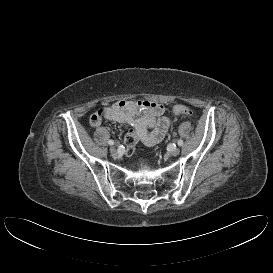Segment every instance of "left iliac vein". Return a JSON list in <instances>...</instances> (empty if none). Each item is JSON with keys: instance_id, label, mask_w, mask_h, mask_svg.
Masks as SVG:
<instances>
[{"instance_id": "left-iliac-vein-1", "label": "left iliac vein", "mask_w": 273, "mask_h": 273, "mask_svg": "<svg viewBox=\"0 0 273 273\" xmlns=\"http://www.w3.org/2000/svg\"><path fill=\"white\" fill-rule=\"evenodd\" d=\"M180 153V149L179 148H173L170 152L171 156H177Z\"/></svg>"}]
</instances>
